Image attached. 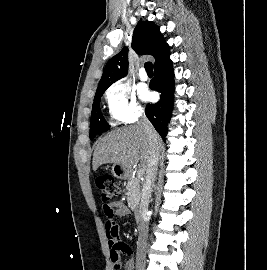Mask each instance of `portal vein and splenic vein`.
I'll return each instance as SVG.
<instances>
[{
  "mask_svg": "<svg viewBox=\"0 0 267 270\" xmlns=\"http://www.w3.org/2000/svg\"><path fill=\"white\" fill-rule=\"evenodd\" d=\"M143 175H144V169H139L137 172V177L141 178V177H143Z\"/></svg>",
  "mask_w": 267,
  "mask_h": 270,
  "instance_id": "1",
  "label": "portal vein and splenic vein"
}]
</instances>
